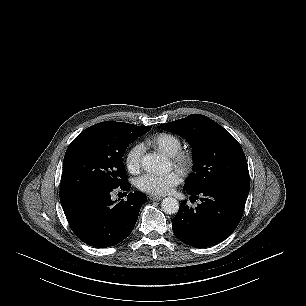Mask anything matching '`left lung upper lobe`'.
Here are the masks:
<instances>
[{
  "label": "left lung upper lobe",
  "instance_id": "left-lung-upper-lobe-1",
  "mask_svg": "<svg viewBox=\"0 0 306 306\" xmlns=\"http://www.w3.org/2000/svg\"><path fill=\"white\" fill-rule=\"evenodd\" d=\"M159 128L182 135L192 146L194 172L185 182L186 191L222 183L249 186L248 165L240 144L212 119L192 114Z\"/></svg>",
  "mask_w": 306,
  "mask_h": 306
}]
</instances>
